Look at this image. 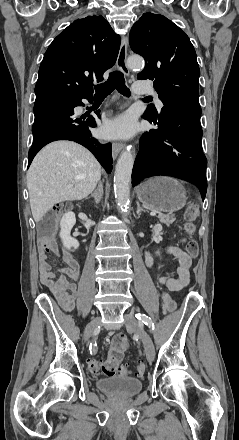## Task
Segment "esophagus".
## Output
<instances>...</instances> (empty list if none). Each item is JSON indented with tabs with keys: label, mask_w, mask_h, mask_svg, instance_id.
Instances as JSON below:
<instances>
[{
	"label": "esophagus",
	"mask_w": 239,
	"mask_h": 440,
	"mask_svg": "<svg viewBox=\"0 0 239 440\" xmlns=\"http://www.w3.org/2000/svg\"><path fill=\"white\" fill-rule=\"evenodd\" d=\"M127 47H128V37H123L122 41H121V46H120V50H119V54L117 57V67L118 69L123 72L125 75H129L130 70L127 66ZM124 148V144L123 143H113L112 144V155H113V159L115 160L118 156V154L121 152V150Z\"/></svg>",
	"instance_id": "esophagus-1"
}]
</instances>
